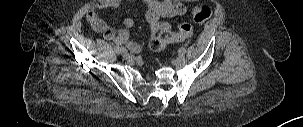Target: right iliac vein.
<instances>
[{"instance_id": "1", "label": "right iliac vein", "mask_w": 303, "mask_h": 127, "mask_svg": "<svg viewBox=\"0 0 303 127\" xmlns=\"http://www.w3.org/2000/svg\"><path fill=\"white\" fill-rule=\"evenodd\" d=\"M124 59L128 60V61H133L134 60V57L132 55H130L128 52H123L122 53Z\"/></svg>"}]
</instances>
